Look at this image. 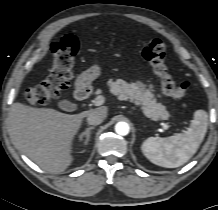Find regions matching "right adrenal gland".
Listing matches in <instances>:
<instances>
[{
  "label": "right adrenal gland",
  "instance_id": "2a0ac1e0",
  "mask_svg": "<svg viewBox=\"0 0 218 210\" xmlns=\"http://www.w3.org/2000/svg\"><path fill=\"white\" fill-rule=\"evenodd\" d=\"M94 128H95L94 126L88 127L84 132L81 133L80 139L83 140L84 137L86 138L84 141V145L88 144V142L90 140V131Z\"/></svg>",
  "mask_w": 218,
  "mask_h": 210
}]
</instances>
